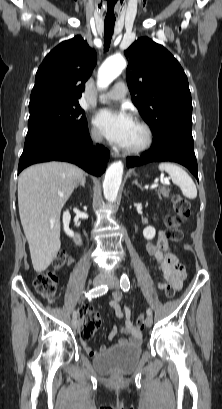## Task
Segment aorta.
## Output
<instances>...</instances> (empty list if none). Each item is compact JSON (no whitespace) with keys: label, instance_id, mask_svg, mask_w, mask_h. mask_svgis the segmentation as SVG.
<instances>
[{"label":"aorta","instance_id":"aorta-1","mask_svg":"<svg viewBox=\"0 0 222 409\" xmlns=\"http://www.w3.org/2000/svg\"><path fill=\"white\" fill-rule=\"evenodd\" d=\"M126 67V61L121 56H112L108 58L98 71V86L106 88L118 77ZM123 176V163L117 161L112 163L105 173L103 182V194L108 202H114L117 199L118 191Z\"/></svg>","mask_w":222,"mask_h":409}]
</instances>
